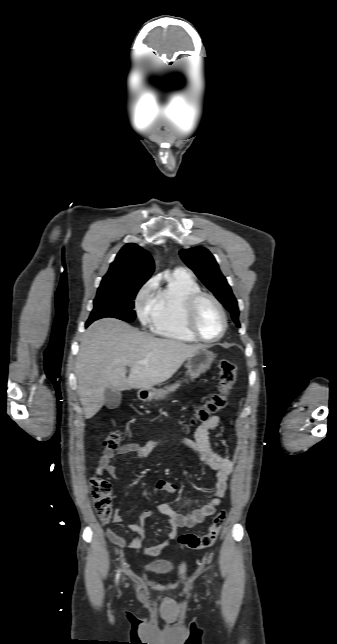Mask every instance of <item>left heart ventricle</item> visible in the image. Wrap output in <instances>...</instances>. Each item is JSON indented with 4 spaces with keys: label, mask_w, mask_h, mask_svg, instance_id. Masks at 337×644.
<instances>
[{
    "label": "left heart ventricle",
    "mask_w": 337,
    "mask_h": 644,
    "mask_svg": "<svg viewBox=\"0 0 337 644\" xmlns=\"http://www.w3.org/2000/svg\"><path fill=\"white\" fill-rule=\"evenodd\" d=\"M197 328L207 339L216 338L222 330V317L216 305L210 300L200 303L197 313Z\"/></svg>",
    "instance_id": "1"
}]
</instances>
